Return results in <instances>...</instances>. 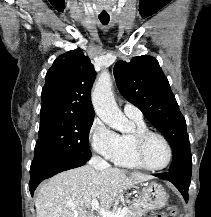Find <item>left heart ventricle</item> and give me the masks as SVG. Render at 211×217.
Returning a JSON list of instances; mask_svg holds the SVG:
<instances>
[{
	"instance_id": "left-heart-ventricle-1",
	"label": "left heart ventricle",
	"mask_w": 211,
	"mask_h": 217,
	"mask_svg": "<svg viewBox=\"0 0 211 217\" xmlns=\"http://www.w3.org/2000/svg\"><path fill=\"white\" fill-rule=\"evenodd\" d=\"M146 160L153 167L163 166L168 159V150L165 143L158 137H152L146 145Z\"/></svg>"
}]
</instances>
